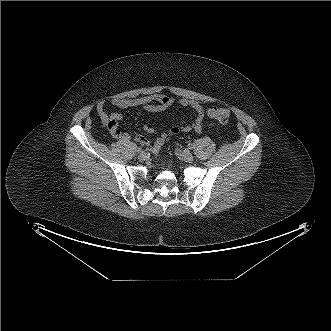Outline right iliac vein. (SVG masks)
Returning a JSON list of instances; mask_svg holds the SVG:
<instances>
[{
    "instance_id": "right-iliac-vein-1",
    "label": "right iliac vein",
    "mask_w": 331,
    "mask_h": 331,
    "mask_svg": "<svg viewBox=\"0 0 331 331\" xmlns=\"http://www.w3.org/2000/svg\"><path fill=\"white\" fill-rule=\"evenodd\" d=\"M138 158L140 160H145L147 158V153L144 152V151L140 152L139 155H138Z\"/></svg>"
}]
</instances>
